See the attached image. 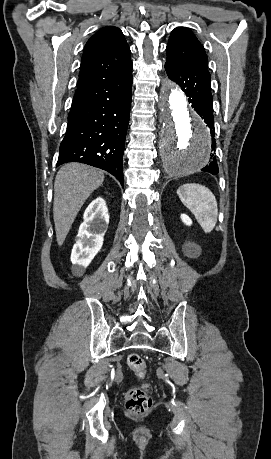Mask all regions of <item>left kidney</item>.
<instances>
[{
	"label": "left kidney",
	"instance_id": "5707ae66",
	"mask_svg": "<svg viewBox=\"0 0 271 459\" xmlns=\"http://www.w3.org/2000/svg\"><path fill=\"white\" fill-rule=\"evenodd\" d=\"M181 220L186 226H191L192 224V220H190L189 216H186V214H181Z\"/></svg>",
	"mask_w": 271,
	"mask_h": 459
}]
</instances>
